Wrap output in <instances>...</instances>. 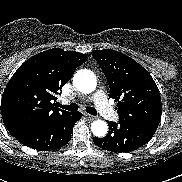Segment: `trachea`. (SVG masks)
<instances>
[{
    "mask_svg": "<svg viewBox=\"0 0 182 182\" xmlns=\"http://www.w3.org/2000/svg\"><path fill=\"white\" fill-rule=\"evenodd\" d=\"M59 107L68 111H77L79 108V106L76 103H71L70 105L65 106L59 105ZM86 112L94 116L97 114L96 110L93 107H87Z\"/></svg>",
    "mask_w": 182,
    "mask_h": 182,
    "instance_id": "1",
    "label": "trachea"
}]
</instances>
